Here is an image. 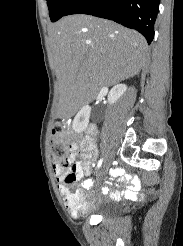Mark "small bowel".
<instances>
[{
    "mask_svg": "<svg viewBox=\"0 0 183 246\" xmlns=\"http://www.w3.org/2000/svg\"><path fill=\"white\" fill-rule=\"evenodd\" d=\"M70 152L68 154L69 164L65 166L55 164L53 167L54 175L57 180L58 190L62 195L66 207L69 209L72 216L77 217L81 214L88 212L96 202V196L94 194H85L83 190H90L93 183L90 179L83 182L81 188L75 191L70 190V185L66 183L65 178L81 179L84 176H88L92 172L91 161L96 157V140L95 137L86 138L81 145L70 144ZM82 152L84 161L75 162L76 153ZM126 169H110V174H115L114 178L117 180V189L111 190L109 185L113 184L112 180L108 181L109 185H104L101 188V192L104 195H108L111 200L117 201L124 196L128 199L136 198L137 191L143 189L144 185L139 184L136 174H126ZM118 174H121L119 177ZM133 178V179H132ZM127 179H131L130 184H126ZM81 197L85 204L88 206L87 211H79L72 207V202L75 198Z\"/></svg>",
    "mask_w": 183,
    "mask_h": 246,
    "instance_id": "1",
    "label": "small bowel"
}]
</instances>
